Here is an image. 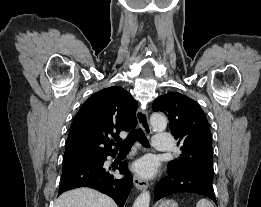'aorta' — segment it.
<instances>
[{
    "mask_svg": "<svg viewBox=\"0 0 261 207\" xmlns=\"http://www.w3.org/2000/svg\"><path fill=\"white\" fill-rule=\"evenodd\" d=\"M150 124L156 131H163L167 127V119L160 113H154L151 115ZM150 193L148 191L142 192L135 200L133 207H149Z\"/></svg>",
    "mask_w": 261,
    "mask_h": 207,
    "instance_id": "762f6f07",
    "label": "aorta"
}]
</instances>
